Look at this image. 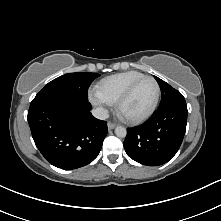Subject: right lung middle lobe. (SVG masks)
Segmentation results:
<instances>
[{
    "label": "right lung middle lobe",
    "instance_id": "dd1d6c3e",
    "mask_svg": "<svg viewBox=\"0 0 221 221\" xmlns=\"http://www.w3.org/2000/svg\"><path fill=\"white\" fill-rule=\"evenodd\" d=\"M100 74L89 72L68 73L62 75L44 86L35 96L31 104L59 96H73L81 99H88V88L92 81Z\"/></svg>",
    "mask_w": 221,
    "mask_h": 221
}]
</instances>
